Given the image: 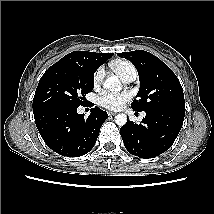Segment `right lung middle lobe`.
Returning <instances> with one entry per match:
<instances>
[{
    "label": "right lung middle lobe",
    "mask_w": 214,
    "mask_h": 214,
    "mask_svg": "<svg viewBox=\"0 0 214 214\" xmlns=\"http://www.w3.org/2000/svg\"><path fill=\"white\" fill-rule=\"evenodd\" d=\"M94 87V71L78 65H52L41 77L33 99V113L53 106H80Z\"/></svg>",
    "instance_id": "obj_1"
}]
</instances>
